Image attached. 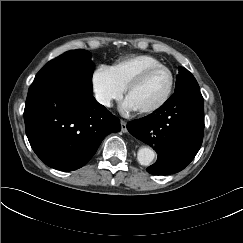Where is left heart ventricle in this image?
<instances>
[{
    "instance_id": "1",
    "label": "left heart ventricle",
    "mask_w": 243,
    "mask_h": 243,
    "mask_svg": "<svg viewBox=\"0 0 243 243\" xmlns=\"http://www.w3.org/2000/svg\"><path fill=\"white\" fill-rule=\"evenodd\" d=\"M169 82L170 77L166 70H154L129 93L127 100L136 110L150 107L165 95Z\"/></svg>"
}]
</instances>
